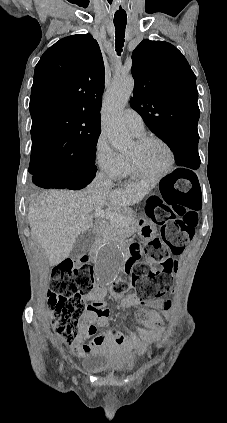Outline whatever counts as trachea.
<instances>
[{"label":"trachea","mask_w":227,"mask_h":423,"mask_svg":"<svg viewBox=\"0 0 227 423\" xmlns=\"http://www.w3.org/2000/svg\"><path fill=\"white\" fill-rule=\"evenodd\" d=\"M127 19H114V25L116 30V39H115V46L116 52L118 55L121 54L123 46H124V36H125V27H126Z\"/></svg>","instance_id":"obj_1"}]
</instances>
